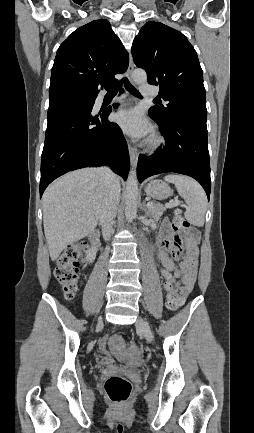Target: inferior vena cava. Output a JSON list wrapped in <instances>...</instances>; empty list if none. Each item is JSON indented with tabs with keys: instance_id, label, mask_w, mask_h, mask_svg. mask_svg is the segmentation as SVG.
<instances>
[{
	"instance_id": "1",
	"label": "inferior vena cava",
	"mask_w": 254,
	"mask_h": 433,
	"mask_svg": "<svg viewBox=\"0 0 254 433\" xmlns=\"http://www.w3.org/2000/svg\"><path fill=\"white\" fill-rule=\"evenodd\" d=\"M101 170L106 178V198L100 220L103 238L109 240L113 233L112 223L120 201V182L109 168H102Z\"/></svg>"
}]
</instances>
